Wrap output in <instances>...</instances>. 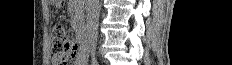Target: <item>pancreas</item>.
Masks as SVG:
<instances>
[{
    "mask_svg": "<svg viewBox=\"0 0 232 65\" xmlns=\"http://www.w3.org/2000/svg\"><path fill=\"white\" fill-rule=\"evenodd\" d=\"M74 27H75L76 29H80V28H81V25H80L79 23H75V24H74Z\"/></svg>",
    "mask_w": 232,
    "mask_h": 65,
    "instance_id": "pancreas-1",
    "label": "pancreas"
}]
</instances>
